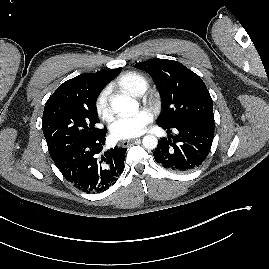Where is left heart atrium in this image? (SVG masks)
I'll return each mask as SVG.
<instances>
[{
    "mask_svg": "<svg viewBox=\"0 0 269 269\" xmlns=\"http://www.w3.org/2000/svg\"><path fill=\"white\" fill-rule=\"evenodd\" d=\"M152 120V114L142 109L130 117L119 118L112 125V135L118 140L129 139L142 134Z\"/></svg>",
    "mask_w": 269,
    "mask_h": 269,
    "instance_id": "obj_1",
    "label": "left heart atrium"
}]
</instances>
